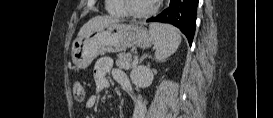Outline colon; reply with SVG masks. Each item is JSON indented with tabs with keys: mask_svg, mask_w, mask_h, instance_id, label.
<instances>
[{
	"mask_svg": "<svg viewBox=\"0 0 273 118\" xmlns=\"http://www.w3.org/2000/svg\"><path fill=\"white\" fill-rule=\"evenodd\" d=\"M73 97L76 101H83L85 97L83 84L80 81H76L73 84Z\"/></svg>",
	"mask_w": 273,
	"mask_h": 118,
	"instance_id": "obj_1",
	"label": "colon"
}]
</instances>
